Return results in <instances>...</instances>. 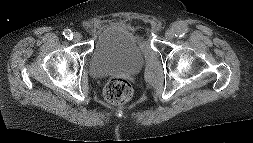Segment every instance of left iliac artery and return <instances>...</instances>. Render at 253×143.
<instances>
[{"label": "left iliac artery", "instance_id": "obj_1", "mask_svg": "<svg viewBox=\"0 0 253 143\" xmlns=\"http://www.w3.org/2000/svg\"><path fill=\"white\" fill-rule=\"evenodd\" d=\"M174 33L176 37H183L187 33V28L183 26H174Z\"/></svg>", "mask_w": 253, "mask_h": 143}]
</instances>
